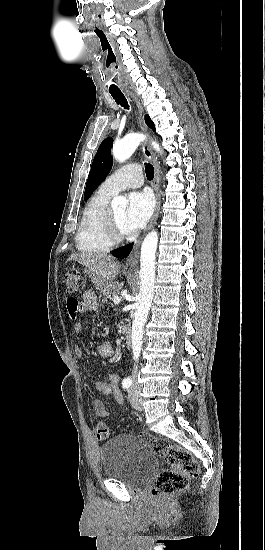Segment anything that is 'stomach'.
I'll list each match as a JSON object with an SVG mask.
<instances>
[{"instance_id": "1", "label": "stomach", "mask_w": 265, "mask_h": 550, "mask_svg": "<svg viewBox=\"0 0 265 550\" xmlns=\"http://www.w3.org/2000/svg\"><path fill=\"white\" fill-rule=\"evenodd\" d=\"M87 272H89L90 274L94 275L90 270H86ZM95 276V275H94ZM95 279H96V284L98 286V288L100 289H104L105 287H107L108 285H110L109 282H106V281H103V280H100L98 277L95 276Z\"/></svg>"}]
</instances>
